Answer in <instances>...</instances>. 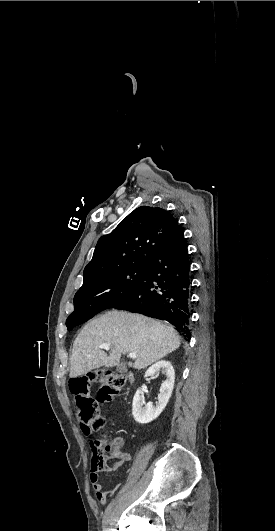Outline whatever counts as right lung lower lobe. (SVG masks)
I'll list each match as a JSON object with an SVG mask.
<instances>
[{"label":"right lung lower lobe","instance_id":"98d812e1","mask_svg":"<svg viewBox=\"0 0 275 531\" xmlns=\"http://www.w3.org/2000/svg\"><path fill=\"white\" fill-rule=\"evenodd\" d=\"M189 283L187 247L178 226L146 265L131 294L112 308L166 320L189 340Z\"/></svg>","mask_w":275,"mask_h":531}]
</instances>
